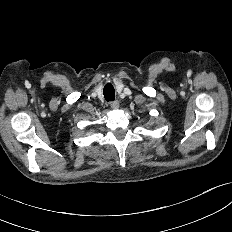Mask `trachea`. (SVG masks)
<instances>
[{
	"mask_svg": "<svg viewBox=\"0 0 232 232\" xmlns=\"http://www.w3.org/2000/svg\"><path fill=\"white\" fill-rule=\"evenodd\" d=\"M103 94L106 101H114L115 100V89L112 84L108 83L105 85L103 89Z\"/></svg>",
	"mask_w": 232,
	"mask_h": 232,
	"instance_id": "3493384b",
	"label": "trachea"
}]
</instances>
